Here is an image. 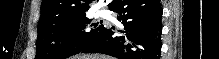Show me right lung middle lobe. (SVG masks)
I'll use <instances>...</instances> for the list:
<instances>
[{"instance_id": "1", "label": "right lung middle lobe", "mask_w": 219, "mask_h": 59, "mask_svg": "<svg viewBox=\"0 0 219 59\" xmlns=\"http://www.w3.org/2000/svg\"><path fill=\"white\" fill-rule=\"evenodd\" d=\"M86 14L50 21L38 27L35 59H65L80 53L103 31Z\"/></svg>"}]
</instances>
